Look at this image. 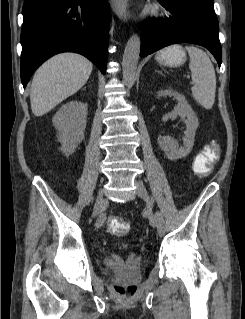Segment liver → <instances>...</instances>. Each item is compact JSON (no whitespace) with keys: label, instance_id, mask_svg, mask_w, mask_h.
<instances>
[{"label":"liver","instance_id":"liver-1","mask_svg":"<svg viewBox=\"0 0 245 319\" xmlns=\"http://www.w3.org/2000/svg\"><path fill=\"white\" fill-rule=\"evenodd\" d=\"M92 68L87 58L76 53L59 54L45 62L35 72L30 88L33 114L42 116L76 93L87 82Z\"/></svg>","mask_w":245,"mask_h":319}]
</instances>
